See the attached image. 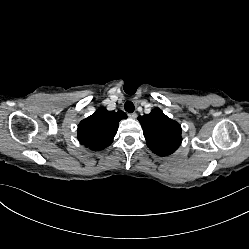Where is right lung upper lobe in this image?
<instances>
[{"label": "right lung upper lobe", "instance_id": "cb5924a9", "mask_svg": "<svg viewBox=\"0 0 249 249\" xmlns=\"http://www.w3.org/2000/svg\"><path fill=\"white\" fill-rule=\"evenodd\" d=\"M126 118L127 115L121 110L115 112L99 108L79 123L78 140L90 149L102 150L113 142L119 121Z\"/></svg>", "mask_w": 249, "mask_h": 249}]
</instances>
